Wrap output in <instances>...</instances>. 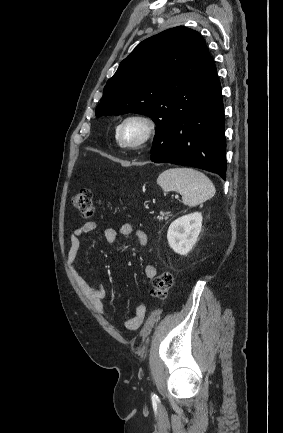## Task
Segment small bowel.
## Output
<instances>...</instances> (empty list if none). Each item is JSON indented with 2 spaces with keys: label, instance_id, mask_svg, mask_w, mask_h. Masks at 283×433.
<instances>
[{
  "label": "small bowel",
  "instance_id": "obj_1",
  "mask_svg": "<svg viewBox=\"0 0 283 433\" xmlns=\"http://www.w3.org/2000/svg\"><path fill=\"white\" fill-rule=\"evenodd\" d=\"M95 229H96V223L93 221H89L83 224L81 227L75 229L70 234L69 237L70 246L67 254V263L76 285L79 287L82 293L89 299L94 309L98 313L105 315V309H104V299L106 297L105 285L103 283H98L95 286H91L81 276V274L79 273L76 267V258L81 245V237L91 233ZM133 231H134L133 225L130 223H125L122 225L120 229V235L125 239H129ZM136 238L141 246H145L148 242V236L143 230L136 231ZM104 239L110 245L116 244L118 242L117 231L113 228L106 229L104 231ZM144 272H145V276L148 279H154L156 276V269L152 265H147L145 267ZM146 310L147 309L144 304H138L135 307L134 316L129 318L125 322L126 329L129 331L137 330L141 326L144 320Z\"/></svg>",
  "mask_w": 283,
  "mask_h": 433
}]
</instances>
